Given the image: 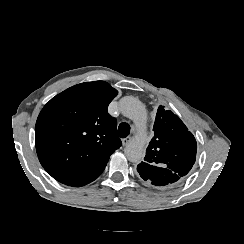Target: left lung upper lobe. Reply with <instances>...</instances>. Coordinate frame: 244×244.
<instances>
[{"instance_id":"1","label":"left lung upper lobe","mask_w":244,"mask_h":244,"mask_svg":"<svg viewBox=\"0 0 244 244\" xmlns=\"http://www.w3.org/2000/svg\"><path fill=\"white\" fill-rule=\"evenodd\" d=\"M153 131L154 137L137 171L164 182L187 175L196 159L197 143L193 134L164 106L157 110Z\"/></svg>"}]
</instances>
